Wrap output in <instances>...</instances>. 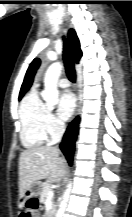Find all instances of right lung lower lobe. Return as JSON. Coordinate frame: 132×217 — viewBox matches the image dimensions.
<instances>
[{
    "instance_id": "right-lung-lower-lobe-1",
    "label": "right lung lower lobe",
    "mask_w": 132,
    "mask_h": 217,
    "mask_svg": "<svg viewBox=\"0 0 132 217\" xmlns=\"http://www.w3.org/2000/svg\"><path fill=\"white\" fill-rule=\"evenodd\" d=\"M78 123L79 118L77 117L68 127L63 141L60 145V148L64 155L66 156L68 162L72 163L73 153H74V147H75V141L78 133Z\"/></svg>"
}]
</instances>
